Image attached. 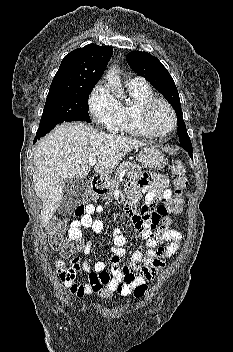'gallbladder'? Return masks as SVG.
Listing matches in <instances>:
<instances>
[{
  "label": "gallbladder",
  "instance_id": "gallbladder-1",
  "mask_svg": "<svg viewBox=\"0 0 233 352\" xmlns=\"http://www.w3.org/2000/svg\"><path fill=\"white\" fill-rule=\"evenodd\" d=\"M89 183L83 179H68L63 193L62 200L59 207V212L62 214L70 213L77 207L81 198L88 188Z\"/></svg>",
  "mask_w": 233,
  "mask_h": 352
}]
</instances>
